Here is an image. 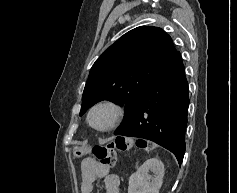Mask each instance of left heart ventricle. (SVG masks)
<instances>
[{"instance_id":"obj_1","label":"left heart ventricle","mask_w":237,"mask_h":193,"mask_svg":"<svg viewBox=\"0 0 237 193\" xmlns=\"http://www.w3.org/2000/svg\"><path fill=\"white\" fill-rule=\"evenodd\" d=\"M110 119H111L110 111L106 109H100L94 113L92 117V122L94 123L95 126L103 127L106 124H108Z\"/></svg>"}]
</instances>
